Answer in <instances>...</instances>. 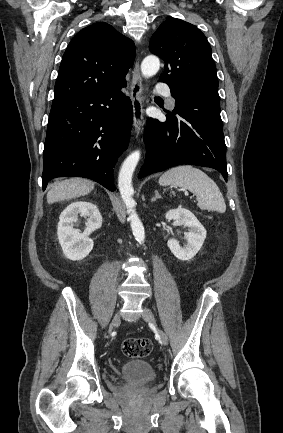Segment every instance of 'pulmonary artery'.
<instances>
[{"instance_id":"pulmonary-artery-1","label":"pulmonary artery","mask_w":283,"mask_h":433,"mask_svg":"<svg viewBox=\"0 0 283 433\" xmlns=\"http://www.w3.org/2000/svg\"><path fill=\"white\" fill-rule=\"evenodd\" d=\"M154 89L159 96H167L169 106L175 105L176 99L171 95V88L168 87L167 83H156Z\"/></svg>"}]
</instances>
